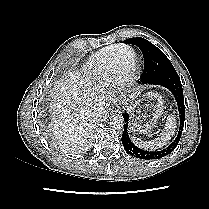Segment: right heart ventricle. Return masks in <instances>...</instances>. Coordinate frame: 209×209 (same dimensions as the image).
Here are the masks:
<instances>
[{
	"label": "right heart ventricle",
	"mask_w": 209,
	"mask_h": 209,
	"mask_svg": "<svg viewBox=\"0 0 209 209\" xmlns=\"http://www.w3.org/2000/svg\"><path fill=\"white\" fill-rule=\"evenodd\" d=\"M120 46L111 45L105 47L91 56L84 67V75L91 85L93 84L97 87L105 85L109 77L112 56ZM136 60L137 56L134 54L132 65H135Z\"/></svg>",
	"instance_id": "obj_1"
}]
</instances>
